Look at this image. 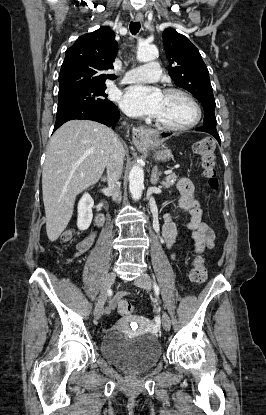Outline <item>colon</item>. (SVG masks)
Returning a JSON list of instances; mask_svg holds the SVG:
<instances>
[{"label": "colon", "instance_id": "obj_1", "mask_svg": "<svg viewBox=\"0 0 266 415\" xmlns=\"http://www.w3.org/2000/svg\"><path fill=\"white\" fill-rule=\"evenodd\" d=\"M193 150L200 157V166L208 185L210 188L216 189L218 187V179L214 140L210 137L202 138L194 143ZM61 239L63 242H71L73 240V231H65ZM189 276L194 284L199 285L205 282L208 271L202 257L194 258ZM117 310L120 315L129 316L133 313L134 308L129 300L121 298L117 302Z\"/></svg>", "mask_w": 266, "mask_h": 415}]
</instances>
